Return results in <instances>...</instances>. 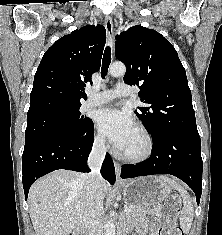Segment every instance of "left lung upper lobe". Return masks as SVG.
<instances>
[{"label": "left lung upper lobe", "mask_w": 222, "mask_h": 235, "mask_svg": "<svg viewBox=\"0 0 222 235\" xmlns=\"http://www.w3.org/2000/svg\"><path fill=\"white\" fill-rule=\"evenodd\" d=\"M116 57L125 63L124 82L140 88L148 107L137 117L156 138L169 131L198 134L186 72L175 48L157 31L132 26L116 36Z\"/></svg>", "instance_id": "1"}]
</instances>
